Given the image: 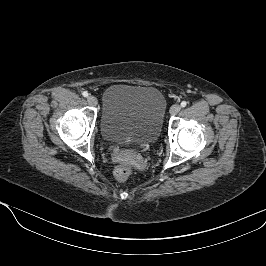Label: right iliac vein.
I'll return each instance as SVG.
<instances>
[{
    "label": "right iliac vein",
    "mask_w": 266,
    "mask_h": 266,
    "mask_svg": "<svg viewBox=\"0 0 266 266\" xmlns=\"http://www.w3.org/2000/svg\"><path fill=\"white\" fill-rule=\"evenodd\" d=\"M87 101H88L89 105H91V106H96L98 103L97 98L95 96H89L87 98Z\"/></svg>",
    "instance_id": "right-iliac-vein-1"
}]
</instances>
